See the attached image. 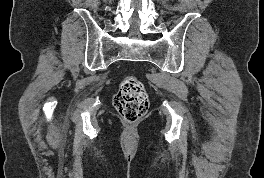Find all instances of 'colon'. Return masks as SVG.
Returning a JSON list of instances; mask_svg holds the SVG:
<instances>
[{
  "mask_svg": "<svg viewBox=\"0 0 264 178\" xmlns=\"http://www.w3.org/2000/svg\"><path fill=\"white\" fill-rule=\"evenodd\" d=\"M113 105L128 122L142 118L149 108L148 95L142 82L134 76L125 77L114 96Z\"/></svg>",
  "mask_w": 264,
  "mask_h": 178,
  "instance_id": "obj_1",
  "label": "colon"
}]
</instances>
